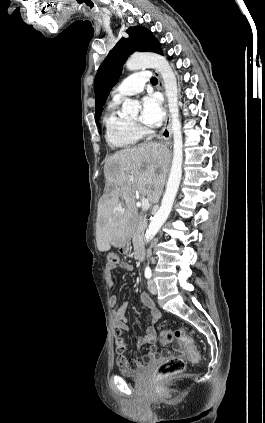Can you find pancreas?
<instances>
[{
    "label": "pancreas",
    "instance_id": "cf45deb5",
    "mask_svg": "<svg viewBox=\"0 0 265 423\" xmlns=\"http://www.w3.org/2000/svg\"><path fill=\"white\" fill-rule=\"evenodd\" d=\"M146 225V217L142 216L141 219L138 221V224L136 225L135 229L132 231L133 241L135 244L141 243Z\"/></svg>",
    "mask_w": 265,
    "mask_h": 423
}]
</instances>
